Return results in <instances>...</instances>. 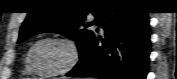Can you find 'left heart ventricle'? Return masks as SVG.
<instances>
[{
    "instance_id": "left-heart-ventricle-1",
    "label": "left heart ventricle",
    "mask_w": 177,
    "mask_h": 79,
    "mask_svg": "<svg viewBox=\"0 0 177 79\" xmlns=\"http://www.w3.org/2000/svg\"><path fill=\"white\" fill-rule=\"evenodd\" d=\"M69 56L67 45L56 41L43 42L33 52L35 65L43 71H55L62 68Z\"/></svg>"
}]
</instances>
